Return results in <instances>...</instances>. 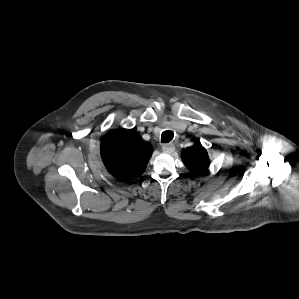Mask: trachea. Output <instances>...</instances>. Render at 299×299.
Listing matches in <instances>:
<instances>
[{
    "label": "trachea",
    "mask_w": 299,
    "mask_h": 299,
    "mask_svg": "<svg viewBox=\"0 0 299 299\" xmlns=\"http://www.w3.org/2000/svg\"><path fill=\"white\" fill-rule=\"evenodd\" d=\"M174 137V133L170 130L164 131L161 135V142L162 143H168L170 142Z\"/></svg>",
    "instance_id": "trachea-1"
}]
</instances>
